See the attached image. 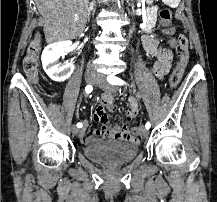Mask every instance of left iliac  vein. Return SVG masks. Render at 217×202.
I'll return each instance as SVG.
<instances>
[{"label":"left iliac vein","instance_id":"obj_1","mask_svg":"<svg viewBox=\"0 0 217 202\" xmlns=\"http://www.w3.org/2000/svg\"><path fill=\"white\" fill-rule=\"evenodd\" d=\"M94 84L98 87H100L102 90L106 91V92H111L114 93L115 92V87H113L112 85H110L103 77L98 76L97 80L94 82ZM140 134L143 137H147L148 136V130L145 127H141L140 129Z\"/></svg>","mask_w":217,"mask_h":202}]
</instances>
